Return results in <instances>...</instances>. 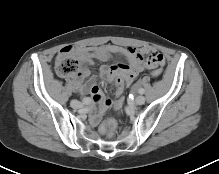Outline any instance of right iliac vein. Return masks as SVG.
I'll return each mask as SVG.
<instances>
[{
    "instance_id": "1",
    "label": "right iliac vein",
    "mask_w": 219,
    "mask_h": 174,
    "mask_svg": "<svg viewBox=\"0 0 219 174\" xmlns=\"http://www.w3.org/2000/svg\"><path fill=\"white\" fill-rule=\"evenodd\" d=\"M71 106H72L74 109H79V108H82V107H83L82 103H80V102L77 101V100H72V101H71Z\"/></svg>"
}]
</instances>
